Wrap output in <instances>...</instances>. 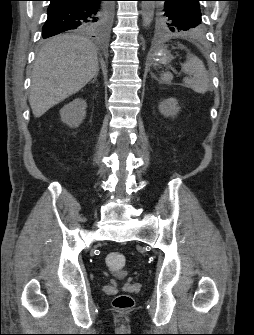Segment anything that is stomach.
I'll return each mask as SVG.
<instances>
[{"instance_id":"obj_1","label":"stomach","mask_w":254,"mask_h":335,"mask_svg":"<svg viewBox=\"0 0 254 335\" xmlns=\"http://www.w3.org/2000/svg\"><path fill=\"white\" fill-rule=\"evenodd\" d=\"M171 60L172 55L166 49L159 50L152 58L154 65H167Z\"/></svg>"}]
</instances>
